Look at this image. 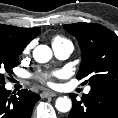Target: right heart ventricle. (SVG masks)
<instances>
[{
    "instance_id": "right-heart-ventricle-1",
    "label": "right heart ventricle",
    "mask_w": 118,
    "mask_h": 118,
    "mask_svg": "<svg viewBox=\"0 0 118 118\" xmlns=\"http://www.w3.org/2000/svg\"><path fill=\"white\" fill-rule=\"evenodd\" d=\"M64 41H66L64 38L59 37V36H56V37L53 38L52 44H55V43H62V42H64Z\"/></svg>"
}]
</instances>
